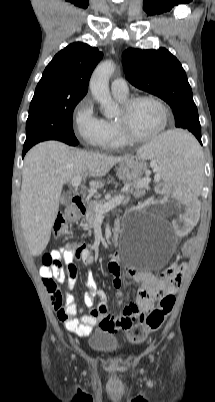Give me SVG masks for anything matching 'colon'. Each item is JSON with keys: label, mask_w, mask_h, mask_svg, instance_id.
Instances as JSON below:
<instances>
[{"label": "colon", "mask_w": 215, "mask_h": 402, "mask_svg": "<svg viewBox=\"0 0 215 402\" xmlns=\"http://www.w3.org/2000/svg\"><path fill=\"white\" fill-rule=\"evenodd\" d=\"M66 232V222L62 215H59L54 223V233L55 236H62ZM197 242L196 236H190L189 240L186 241V244L180 248V251L183 253L182 257L185 260L190 259L191 251L195 248V244ZM76 244L73 241H64L63 249L64 250H73L75 249ZM44 266L53 267L59 263L57 259L54 258L52 254H46L44 259ZM70 266L68 265V268ZM184 266L182 264L175 265L169 267L164 275L166 276H176L182 272ZM44 285L47 291L50 294L52 304L57 311L63 309V296L62 293L52 278L44 279ZM175 303V298L172 295H166L162 297L159 301V305L154 308L144 319L139 320L138 323L134 324L127 332V338L130 342H139L146 338V336L153 331L158 330L166 317L170 314Z\"/></svg>", "instance_id": "5ec220e1"}]
</instances>
